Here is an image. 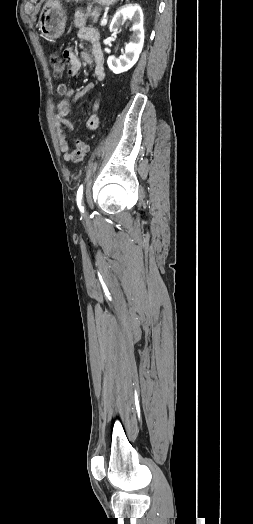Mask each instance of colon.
<instances>
[{
    "label": "colon",
    "mask_w": 253,
    "mask_h": 524,
    "mask_svg": "<svg viewBox=\"0 0 253 524\" xmlns=\"http://www.w3.org/2000/svg\"><path fill=\"white\" fill-rule=\"evenodd\" d=\"M50 63L55 77H61L65 72V64L62 59V55L53 54L50 56ZM88 152V146L84 141L77 140L70 151L67 153V160L73 163H79L83 161Z\"/></svg>",
    "instance_id": "1"
}]
</instances>
